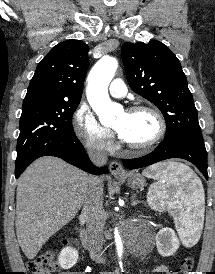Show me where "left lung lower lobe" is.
Instances as JSON below:
<instances>
[{
	"label": "left lung lower lobe",
	"mask_w": 215,
	"mask_h": 274,
	"mask_svg": "<svg viewBox=\"0 0 215 274\" xmlns=\"http://www.w3.org/2000/svg\"><path fill=\"white\" fill-rule=\"evenodd\" d=\"M170 158L190 161L208 180L207 152L204 141L189 137L165 138L150 154L135 159H124L123 164L128 169H137Z\"/></svg>",
	"instance_id": "1"
}]
</instances>
